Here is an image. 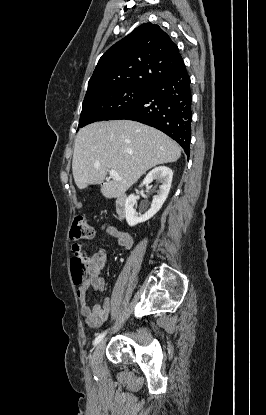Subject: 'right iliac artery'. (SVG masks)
<instances>
[{
    "label": "right iliac artery",
    "instance_id": "obj_1",
    "mask_svg": "<svg viewBox=\"0 0 266 415\" xmlns=\"http://www.w3.org/2000/svg\"><path fill=\"white\" fill-rule=\"evenodd\" d=\"M107 331L101 333L99 336H97L93 342L94 346H96L97 344L100 343V341L104 338V336L106 335Z\"/></svg>",
    "mask_w": 266,
    "mask_h": 415
}]
</instances>
